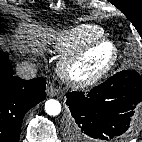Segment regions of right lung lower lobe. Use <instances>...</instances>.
<instances>
[{
	"label": "right lung lower lobe",
	"mask_w": 142,
	"mask_h": 142,
	"mask_svg": "<svg viewBox=\"0 0 142 142\" xmlns=\"http://www.w3.org/2000/svg\"><path fill=\"white\" fill-rule=\"evenodd\" d=\"M45 80H23L13 75L5 53L0 52V142H19L23 117L45 99Z\"/></svg>",
	"instance_id": "right-lung-lower-lobe-1"
}]
</instances>
